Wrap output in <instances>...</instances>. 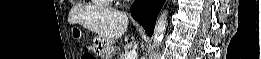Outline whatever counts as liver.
Segmentation results:
<instances>
[{
    "label": "liver",
    "mask_w": 261,
    "mask_h": 59,
    "mask_svg": "<svg viewBox=\"0 0 261 59\" xmlns=\"http://www.w3.org/2000/svg\"><path fill=\"white\" fill-rule=\"evenodd\" d=\"M107 39L121 38L128 26V17L124 12L117 10H100L86 13L83 16L70 15L69 23H77ZM128 42V36L125 37Z\"/></svg>",
    "instance_id": "1"
}]
</instances>
